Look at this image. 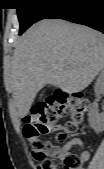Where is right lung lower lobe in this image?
Masks as SVG:
<instances>
[{"instance_id": "right-lung-lower-lobe-1", "label": "right lung lower lobe", "mask_w": 104, "mask_h": 169, "mask_svg": "<svg viewBox=\"0 0 104 169\" xmlns=\"http://www.w3.org/2000/svg\"><path fill=\"white\" fill-rule=\"evenodd\" d=\"M54 18L83 24L104 33V0H71L47 17Z\"/></svg>"}]
</instances>
